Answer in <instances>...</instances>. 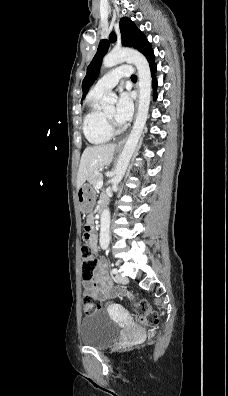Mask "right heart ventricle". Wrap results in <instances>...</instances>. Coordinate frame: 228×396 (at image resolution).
Masks as SVG:
<instances>
[{
	"label": "right heart ventricle",
	"instance_id": "e07e8e85",
	"mask_svg": "<svg viewBox=\"0 0 228 396\" xmlns=\"http://www.w3.org/2000/svg\"><path fill=\"white\" fill-rule=\"evenodd\" d=\"M101 95L92 91L87 97V112L83 119V133L89 143L101 145L112 138V134L107 130L103 112L99 108L98 102Z\"/></svg>",
	"mask_w": 228,
	"mask_h": 396
}]
</instances>
